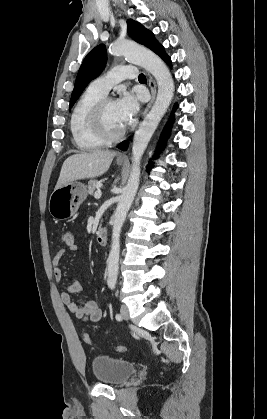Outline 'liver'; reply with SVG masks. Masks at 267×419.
Masks as SVG:
<instances>
[{
	"mask_svg": "<svg viewBox=\"0 0 267 419\" xmlns=\"http://www.w3.org/2000/svg\"><path fill=\"white\" fill-rule=\"evenodd\" d=\"M116 152L92 150L69 156L63 163L55 189L85 178L104 174L110 167Z\"/></svg>",
	"mask_w": 267,
	"mask_h": 419,
	"instance_id": "obj_1",
	"label": "liver"
}]
</instances>
